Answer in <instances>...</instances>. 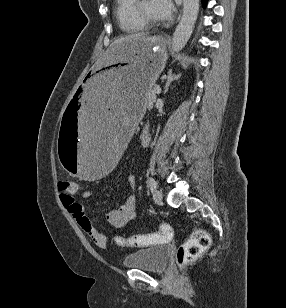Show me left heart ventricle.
I'll list each match as a JSON object with an SVG mask.
<instances>
[{"label":"left heart ventricle","mask_w":286,"mask_h":308,"mask_svg":"<svg viewBox=\"0 0 286 308\" xmlns=\"http://www.w3.org/2000/svg\"><path fill=\"white\" fill-rule=\"evenodd\" d=\"M141 12L153 21L160 20V17L157 15L152 0H144L141 3Z\"/></svg>","instance_id":"b2bd125f"}]
</instances>
